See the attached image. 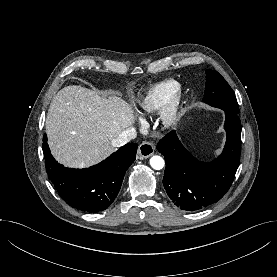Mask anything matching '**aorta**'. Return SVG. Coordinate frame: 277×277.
Returning <instances> with one entry per match:
<instances>
[{
	"label": "aorta",
	"instance_id": "762f6f07",
	"mask_svg": "<svg viewBox=\"0 0 277 277\" xmlns=\"http://www.w3.org/2000/svg\"><path fill=\"white\" fill-rule=\"evenodd\" d=\"M150 165L155 170H161L164 167V160L160 156H153L150 159Z\"/></svg>",
	"mask_w": 277,
	"mask_h": 277
}]
</instances>
